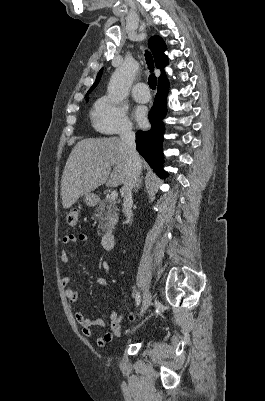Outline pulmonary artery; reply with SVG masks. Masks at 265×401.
I'll return each mask as SVG.
<instances>
[{
    "instance_id": "pulmonary-artery-1",
    "label": "pulmonary artery",
    "mask_w": 265,
    "mask_h": 401,
    "mask_svg": "<svg viewBox=\"0 0 265 401\" xmlns=\"http://www.w3.org/2000/svg\"><path fill=\"white\" fill-rule=\"evenodd\" d=\"M148 84L146 81H138L136 84L135 92L132 93V97L138 101L147 103L151 100V94L148 93Z\"/></svg>"
}]
</instances>
